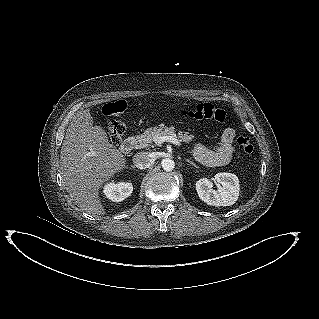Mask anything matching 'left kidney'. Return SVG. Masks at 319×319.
Returning <instances> with one entry per match:
<instances>
[{"mask_svg": "<svg viewBox=\"0 0 319 319\" xmlns=\"http://www.w3.org/2000/svg\"><path fill=\"white\" fill-rule=\"evenodd\" d=\"M214 182L220 186L218 190H213V182L207 178L196 182V191L200 199L212 206L233 205L239 196V179L232 173H217Z\"/></svg>", "mask_w": 319, "mask_h": 319, "instance_id": "5707ae66", "label": "left kidney"}]
</instances>
